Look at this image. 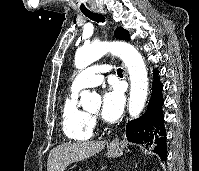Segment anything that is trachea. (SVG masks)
I'll return each mask as SVG.
<instances>
[{
	"label": "trachea",
	"instance_id": "1",
	"mask_svg": "<svg viewBox=\"0 0 199 171\" xmlns=\"http://www.w3.org/2000/svg\"><path fill=\"white\" fill-rule=\"evenodd\" d=\"M83 14H84L86 17H88V18H90L91 20H94V21H96V22H98V23H103V22H105L104 17H103L102 15L97 14V13L83 12ZM117 74H118L119 76H123V71H122L121 68H118V69H117Z\"/></svg>",
	"mask_w": 199,
	"mask_h": 171
}]
</instances>
